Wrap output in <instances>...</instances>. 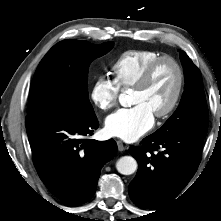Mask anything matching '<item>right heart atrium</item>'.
Masks as SVG:
<instances>
[{
    "label": "right heart atrium",
    "mask_w": 221,
    "mask_h": 221,
    "mask_svg": "<svg viewBox=\"0 0 221 221\" xmlns=\"http://www.w3.org/2000/svg\"><path fill=\"white\" fill-rule=\"evenodd\" d=\"M120 89L113 80L100 76L90 90L92 104L102 112L113 109L118 102Z\"/></svg>",
    "instance_id": "right-heart-atrium-1"
}]
</instances>
